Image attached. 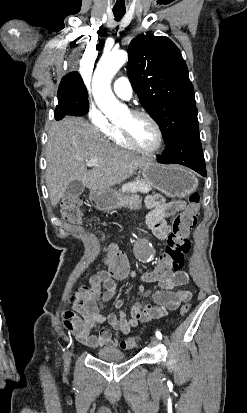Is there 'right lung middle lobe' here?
I'll list each match as a JSON object with an SVG mask.
<instances>
[{"instance_id": "right-lung-middle-lobe-1", "label": "right lung middle lobe", "mask_w": 247, "mask_h": 413, "mask_svg": "<svg viewBox=\"0 0 247 413\" xmlns=\"http://www.w3.org/2000/svg\"><path fill=\"white\" fill-rule=\"evenodd\" d=\"M58 100L71 103L85 115L89 110L88 92L83 80L61 81L58 89Z\"/></svg>"}]
</instances>
